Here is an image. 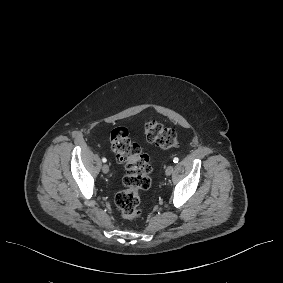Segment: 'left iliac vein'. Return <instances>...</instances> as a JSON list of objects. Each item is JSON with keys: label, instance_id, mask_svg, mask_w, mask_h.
<instances>
[{"label": "left iliac vein", "instance_id": "obj_1", "mask_svg": "<svg viewBox=\"0 0 283 283\" xmlns=\"http://www.w3.org/2000/svg\"><path fill=\"white\" fill-rule=\"evenodd\" d=\"M173 170H174V167L172 165H169L165 170L166 175L170 176L172 174Z\"/></svg>", "mask_w": 283, "mask_h": 283}]
</instances>
